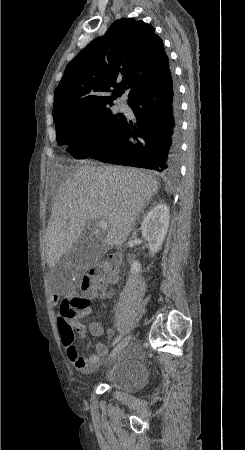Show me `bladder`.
I'll use <instances>...</instances> for the list:
<instances>
[{
  "instance_id": "bladder-1",
  "label": "bladder",
  "mask_w": 245,
  "mask_h": 450,
  "mask_svg": "<svg viewBox=\"0 0 245 450\" xmlns=\"http://www.w3.org/2000/svg\"><path fill=\"white\" fill-rule=\"evenodd\" d=\"M146 380V368L141 360L119 359L114 362L100 381L114 390L133 394L140 390Z\"/></svg>"
}]
</instances>
